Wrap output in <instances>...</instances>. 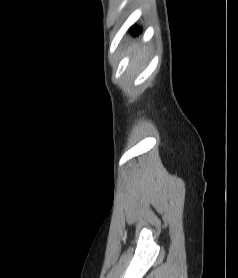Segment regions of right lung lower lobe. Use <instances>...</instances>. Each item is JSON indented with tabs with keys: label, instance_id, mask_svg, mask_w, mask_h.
<instances>
[{
	"label": "right lung lower lobe",
	"instance_id": "98d812e1",
	"mask_svg": "<svg viewBox=\"0 0 238 278\" xmlns=\"http://www.w3.org/2000/svg\"><path fill=\"white\" fill-rule=\"evenodd\" d=\"M139 32H140V29H139V28H137V27H135V28H134V34L138 35V34H139Z\"/></svg>",
	"mask_w": 238,
	"mask_h": 278
}]
</instances>
